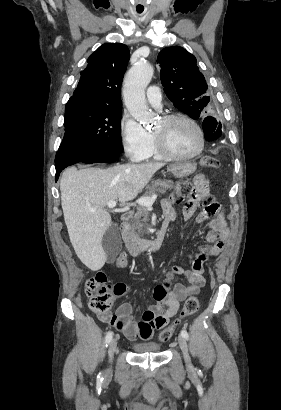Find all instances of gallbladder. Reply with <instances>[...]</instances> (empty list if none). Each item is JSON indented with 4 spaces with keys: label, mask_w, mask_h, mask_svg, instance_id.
Returning a JSON list of instances; mask_svg holds the SVG:
<instances>
[{
    "label": "gallbladder",
    "mask_w": 281,
    "mask_h": 410,
    "mask_svg": "<svg viewBox=\"0 0 281 410\" xmlns=\"http://www.w3.org/2000/svg\"><path fill=\"white\" fill-rule=\"evenodd\" d=\"M102 247L106 255V261L113 263L122 248L119 231L116 225L112 224L104 233Z\"/></svg>",
    "instance_id": "bac80fb5"
}]
</instances>
